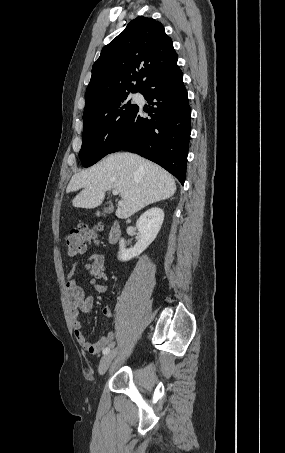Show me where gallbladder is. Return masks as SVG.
<instances>
[{"instance_id":"bac80fb5","label":"gallbladder","mask_w":285,"mask_h":453,"mask_svg":"<svg viewBox=\"0 0 285 453\" xmlns=\"http://www.w3.org/2000/svg\"><path fill=\"white\" fill-rule=\"evenodd\" d=\"M104 211L109 212L111 211V208H104Z\"/></svg>"}]
</instances>
